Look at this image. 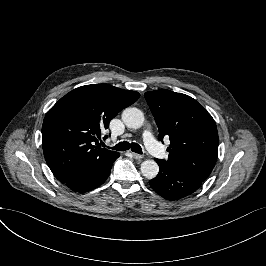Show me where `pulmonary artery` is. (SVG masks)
I'll return each mask as SVG.
<instances>
[{
	"instance_id": "obj_1",
	"label": "pulmonary artery",
	"mask_w": 266,
	"mask_h": 266,
	"mask_svg": "<svg viewBox=\"0 0 266 266\" xmlns=\"http://www.w3.org/2000/svg\"><path fill=\"white\" fill-rule=\"evenodd\" d=\"M147 148L154 154H159L161 151L160 145H155L152 137L146 138Z\"/></svg>"
}]
</instances>
